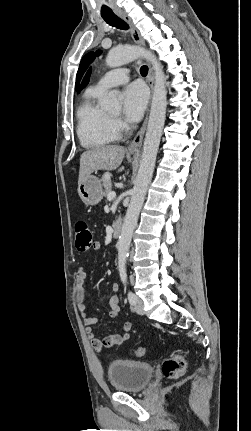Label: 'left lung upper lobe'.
I'll list each match as a JSON object with an SVG mask.
<instances>
[{
	"mask_svg": "<svg viewBox=\"0 0 251 431\" xmlns=\"http://www.w3.org/2000/svg\"><path fill=\"white\" fill-rule=\"evenodd\" d=\"M101 53L100 50H97L96 53L94 52H89L87 53L81 60L80 62V66L77 72V78H76V88L79 85V82L82 78V75L84 74V72L86 71L88 65L95 59L96 56H98Z\"/></svg>",
	"mask_w": 251,
	"mask_h": 431,
	"instance_id": "obj_1",
	"label": "left lung upper lobe"
}]
</instances>
